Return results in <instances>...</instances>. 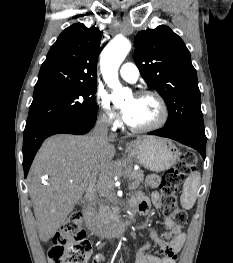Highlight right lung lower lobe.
I'll use <instances>...</instances> for the list:
<instances>
[{"label": "right lung lower lobe", "mask_w": 233, "mask_h": 263, "mask_svg": "<svg viewBox=\"0 0 233 263\" xmlns=\"http://www.w3.org/2000/svg\"><path fill=\"white\" fill-rule=\"evenodd\" d=\"M97 118L94 111L88 115L74 118L53 120L36 127L24 130L23 140V168L24 177L27 176L34 156L42 142L49 136L58 133L85 134L93 127Z\"/></svg>", "instance_id": "1"}]
</instances>
